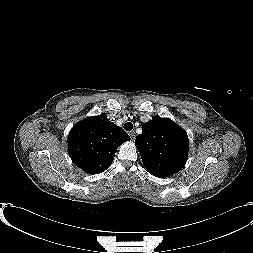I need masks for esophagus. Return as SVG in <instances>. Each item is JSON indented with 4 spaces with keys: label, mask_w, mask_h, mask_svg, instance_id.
Wrapping results in <instances>:
<instances>
[{
    "label": "esophagus",
    "mask_w": 253,
    "mask_h": 253,
    "mask_svg": "<svg viewBox=\"0 0 253 253\" xmlns=\"http://www.w3.org/2000/svg\"><path fill=\"white\" fill-rule=\"evenodd\" d=\"M129 135H130L131 139L134 140L136 133H135V131H131V132H129Z\"/></svg>",
    "instance_id": "1"
}]
</instances>
